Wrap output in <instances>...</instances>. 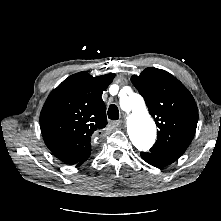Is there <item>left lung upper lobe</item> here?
<instances>
[{"label":"left lung upper lobe","instance_id":"1","mask_svg":"<svg viewBox=\"0 0 221 221\" xmlns=\"http://www.w3.org/2000/svg\"><path fill=\"white\" fill-rule=\"evenodd\" d=\"M131 81L159 128L150 152L180 157L197 127L198 109L193 96L173 75L153 67L133 75Z\"/></svg>","mask_w":221,"mask_h":221}]
</instances>
